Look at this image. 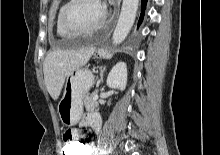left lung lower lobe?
I'll use <instances>...</instances> for the list:
<instances>
[{
  "label": "left lung lower lobe",
  "mask_w": 220,
  "mask_h": 155,
  "mask_svg": "<svg viewBox=\"0 0 220 155\" xmlns=\"http://www.w3.org/2000/svg\"><path fill=\"white\" fill-rule=\"evenodd\" d=\"M146 3H147V0H141V16H140V19H139V22H138V26L141 24L142 20H143V15H144V11H145V8H146Z\"/></svg>",
  "instance_id": "left-lung-lower-lobe-1"
}]
</instances>
